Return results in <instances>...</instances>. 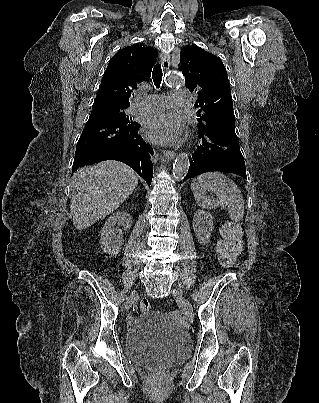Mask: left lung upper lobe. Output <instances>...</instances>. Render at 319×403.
<instances>
[{
  "label": "left lung upper lobe",
  "instance_id": "left-lung-upper-lobe-1",
  "mask_svg": "<svg viewBox=\"0 0 319 403\" xmlns=\"http://www.w3.org/2000/svg\"><path fill=\"white\" fill-rule=\"evenodd\" d=\"M179 70L185 85L198 93L195 103L199 131L223 121H235L226 68L217 56L198 46L181 50Z\"/></svg>",
  "mask_w": 319,
  "mask_h": 403
}]
</instances>
